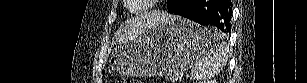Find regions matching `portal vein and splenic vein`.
I'll use <instances>...</instances> for the list:
<instances>
[{"label":"portal vein and splenic vein","mask_w":307,"mask_h":83,"mask_svg":"<svg viewBox=\"0 0 307 83\" xmlns=\"http://www.w3.org/2000/svg\"><path fill=\"white\" fill-rule=\"evenodd\" d=\"M182 77H183V74H178L177 76L174 77L173 80L177 81L179 79H182Z\"/></svg>","instance_id":"portal-vein-and-splenic-vein-1"}]
</instances>
